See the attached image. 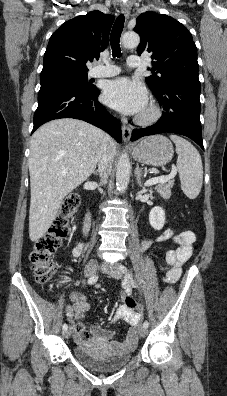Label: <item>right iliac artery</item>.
Segmentation results:
<instances>
[{"instance_id":"obj_1","label":"right iliac artery","mask_w":227,"mask_h":396,"mask_svg":"<svg viewBox=\"0 0 227 396\" xmlns=\"http://www.w3.org/2000/svg\"><path fill=\"white\" fill-rule=\"evenodd\" d=\"M97 280H98V276H97V275H94V276H92V277H90V278L88 279V282H87V283H88L89 285H92V284H94ZM62 328H63V330H66V329L68 328V325L65 323V324H63Z\"/></svg>"}]
</instances>
